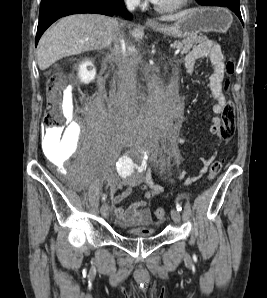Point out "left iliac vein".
I'll list each match as a JSON object with an SVG mask.
<instances>
[{"label":"left iliac vein","mask_w":267,"mask_h":298,"mask_svg":"<svg viewBox=\"0 0 267 298\" xmlns=\"http://www.w3.org/2000/svg\"><path fill=\"white\" fill-rule=\"evenodd\" d=\"M171 217L174 220L175 223H180L181 221V216L180 213L177 209H172L171 210Z\"/></svg>","instance_id":"4c4485c4"}]
</instances>
